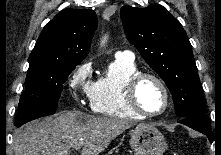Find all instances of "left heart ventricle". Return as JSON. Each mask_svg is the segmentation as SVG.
<instances>
[{
  "mask_svg": "<svg viewBox=\"0 0 221 155\" xmlns=\"http://www.w3.org/2000/svg\"><path fill=\"white\" fill-rule=\"evenodd\" d=\"M141 107L148 112H158L164 106V95L159 85L151 80L144 79L137 92Z\"/></svg>",
  "mask_w": 221,
  "mask_h": 155,
  "instance_id": "left-heart-ventricle-1",
  "label": "left heart ventricle"
}]
</instances>
